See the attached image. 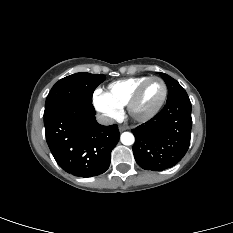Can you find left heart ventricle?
<instances>
[{"label": "left heart ventricle", "instance_id": "b2bd125f", "mask_svg": "<svg viewBox=\"0 0 233 233\" xmlns=\"http://www.w3.org/2000/svg\"><path fill=\"white\" fill-rule=\"evenodd\" d=\"M163 94V86L160 81L153 80L144 88L136 106L138 113H146L152 110L160 101Z\"/></svg>", "mask_w": 233, "mask_h": 233}]
</instances>
